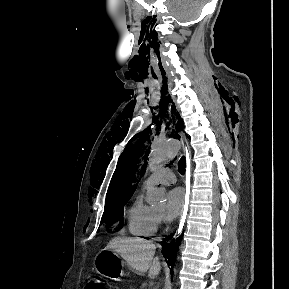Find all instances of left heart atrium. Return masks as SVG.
<instances>
[{"mask_svg": "<svg viewBox=\"0 0 289 289\" xmlns=\"http://www.w3.org/2000/svg\"><path fill=\"white\" fill-rule=\"evenodd\" d=\"M186 194L182 188H173L167 195V202L163 213V218L172 221L181 215L185 208Z\"/></svg>", "mask_w": 289, "mask_h": 289, "instance_id": "1", "label": "left heart atrium"}]
</instances>
